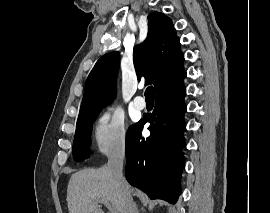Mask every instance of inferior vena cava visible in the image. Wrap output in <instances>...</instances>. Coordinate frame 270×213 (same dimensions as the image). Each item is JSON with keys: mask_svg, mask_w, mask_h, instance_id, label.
Wrapping results in <instances>:
<instances>
[{"mask_svg": "<svg viewBox=\"0 0 270 213\" xmlns=\"http://www.w3.org/2000/svg\"><path fill=\"white\" fill-rule=\"evenodd\" d=\"M125 158V147L119 146L113 149L108 157L107 167L113 178L122 190L124 210L123 213H133V201L128 189V184L123 176V161Z\"/></svg>", "mask_w": 270, "mask_h": 213, "instance_id": "inferior-vena-cava-1", "label": "inferior vena cava"}]
</instances>
